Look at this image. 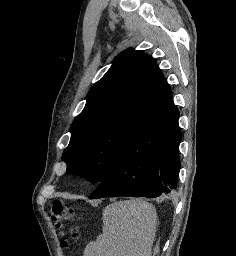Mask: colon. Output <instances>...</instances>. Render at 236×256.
Masks as SVG:
<instances>
[{
  "instance_id": "colon-1",
  "label": "colon",
  "mask_w": 236,
  "mask_h": 256,
  "mask_svg": "<svg viewBox=\"0 0 236 256\" xmlns=\"http://www.w3.org/2000/svg\"><path fill=\"white\" fill-rule=\"evenodd\" d=\"M47 212H48L49 218L54 223L55 228L58 231H60L64 221H69L71 219L76 218V214H75L74 210L72 208L68 207L63 201L58 200V199L54 200L50 204ZM70 236L76 241L78 238L77 231L71 230ZM61 245L63 247H67L68 243L66 240H62Z\"/></svg>"
}]
</instances>
